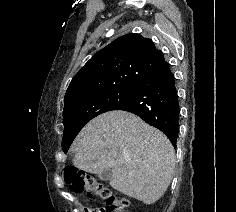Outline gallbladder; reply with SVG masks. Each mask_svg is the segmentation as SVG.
Listing matches in <instances>:
<instances>
[{
    "mask_svg": "<svg viewBox=\"0 0 236 212\" xmlns=\"http://www.w3.org/2000/svg\"><path fill=\"white\" fill-rule=\"evenodd\" d=\"M98 177L103 181H110L112 179V170L107 169L98 174Z\"/></svg>",
    "mask_w": 236,
    "mask_h": 212,
    "instance_id": "obj_1",
    "label": "gallbladder"
}]
</instances>
